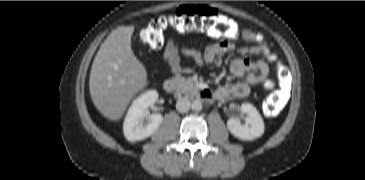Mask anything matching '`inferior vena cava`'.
<instances>
[{
    "label": "inferior vena cava",
    "mask_w": 365,
    "mask_h": 180,
    "mask_svg": "<svg viewBox=\"0 0 365 180\" xmlns=\"http://www.w3.org/2000/svg\"><path fill=\"white\" fill-rule=\"evenodd\" d=\"M191 103L189 101L188 98H180L177 100L176 103V109L180 112V113H185L190 109Z\"/></svg>",
    "instance_id": "602c4592"
}]
</instances>
